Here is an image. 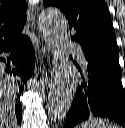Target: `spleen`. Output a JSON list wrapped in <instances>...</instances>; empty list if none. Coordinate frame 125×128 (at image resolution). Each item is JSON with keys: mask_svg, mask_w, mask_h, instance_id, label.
<instances>
[{"mask_svg": "<svg viewBox=\"0 0 125 128\" xmlns=\"http://www.w3.org/2000/svg\"><path fill=\"white\" fill-rule=\"evenodd\" d=\"M77 128H119L117 125L101 118H89L77 126Z\"/></svg>", "mask_w": 125, "mask_h": 128, "instance_id": "obj_1", "label": "spleen"}]
</instances>
